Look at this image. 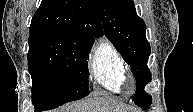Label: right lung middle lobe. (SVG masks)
I'll return each mask as SVG.
<instances>
[{"label":"right lung middle lobe","mask_w":193,"mask_h":112,"mask_svg":"<svg viewBox=\"0 0 193 112\" xmlns=\"http://www.w3.org/2000/svg\"><path fill=\"white\" fill-rule=\"evenodd\" d=\"M93 42L91 36L72 33H30L28 69L36 112L89 94L87 59Z\"/></svg>","instance_id":"right-lung-middle-lobe-1"}]
</instances>
